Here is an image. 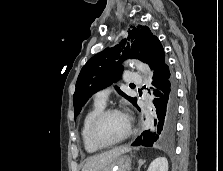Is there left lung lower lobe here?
<instances>
[{
	"label": "left lung lower lobe",
	"instance_id": "obj_1",
	"mask_svg": "<svg viewBox=\"0 0 223 171\" xmlns=\"http://www.w3.org/2000/svg\"><path fill=\"white\" fill-rule=\"evenodd\" d=\"M146 63L154 72L155 119L153 129L144 131L132 145L169 146L176 133L177 91L174 74L165 62V52L160 41L154 44ZM135 106L140 111L137 104Z\"/></svg>",
	"mask_w": 223,
	"mask_h": 171
}]
</instances>
